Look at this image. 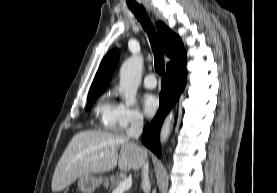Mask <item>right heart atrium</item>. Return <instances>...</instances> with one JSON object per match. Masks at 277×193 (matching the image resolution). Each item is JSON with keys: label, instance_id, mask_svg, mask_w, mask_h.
<instances>
[{"label": "right heart atrium", "instance_id": "obj_1", "mask_svg": "<svg viewBox=\"0 0 277 193\" xmlns=\"http://www.w3.org/2000/svg\"><path fill=\"white\" fill-rule=\"evenodd\" d=\"M113 121L114 127L117 130L123 131L130 127L141 125L143 117L136 108L119 103L116 105Z\"/></svg>", "mask_w": 277, "mask_h": 193}]
</instances>
